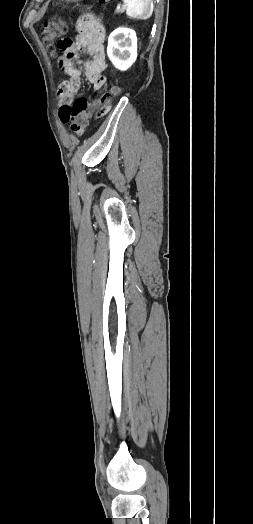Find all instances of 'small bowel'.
Segmentation results:
<instances>
[{
    "instance_id": "1",
    "label": "small bowel",
    "mask_w": 253,
    "mask_h": 524,
    "mask_svg": "<svg viewBox=\"0 0 253 524\" xmlns=\"http://www.w3.org/2000/svg\"><path fill=\"white\" fill-rule=\"evenodd\" d=\"M75 42L72 34L67 33L58 37L56 46L58 54V64L67 74V79L61 84L58 95L61 105H70L75 93L81 85L82 77L94 85V91L102 87L106 81L104 38L105 28L101 22L92 14L81 15L75 25ZM81 50L89 56L88 61H79L75 65ZM112 111L110 103H101L94 110L96 117L107 118Z\"/></svg>"
}]
</instances>
